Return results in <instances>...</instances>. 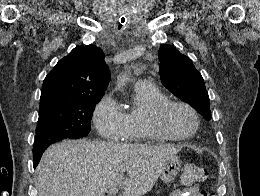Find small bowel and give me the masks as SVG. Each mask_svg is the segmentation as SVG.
<instances>
[{
    "label": "small bowel",
    "mask_w": 260,
    "mask_h": 196,
    "mask_svg": "<svg viewBox=\"0 0 260 196\" xmlns=\"http://www.w3.org/2000/svg\"><path fill=\"white\" fill-rule=\"evenodd\" d=\"M199 184L187 186L184 189H175L170 196H207Z\"/></svg>",
    "instance_id": "1"
}]
</instances>
